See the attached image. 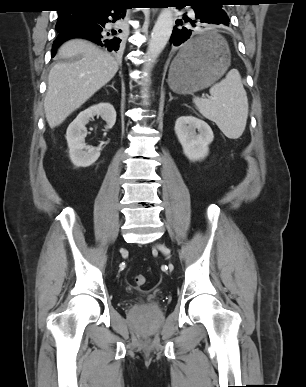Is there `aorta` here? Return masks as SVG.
I'll return each mask as SVG.
<instances>
[{
  "label": "aorta",
  "mask_w": 306,
  "mask_h": 387,
  "mask_svg": "<svg viewBox=\"0 0 306 387\" xmlns=\"http://www.w3.org/2000/svg\"><path fill=\"white\" fill-rule=\"evenodd\" d=\"M173 26L174 19L172 8H163L153 27L151 38L148 44L146 62L144 65L146 72L151 71L156 59L167 45L172 34ZM148 81V78L144 79L145 90H147ZM144 103L147 104V100H145Z\"/></svg>",
  "instance_id": "obj_1"
}]
</instances>
